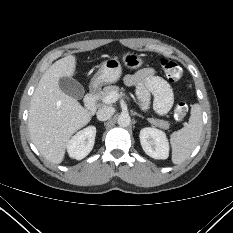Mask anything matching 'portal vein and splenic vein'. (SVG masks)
<instances>
[{"mask_svg":"<svg viewBox=\"0 0 233 233\" xmlns=\"http://www.w3.org/2000/svg\"><path fill=\"white\" fill-rule=\"evenodd\" d=\"M122 96H124V94H119V93H110L109 95H107L106 97H104L102 99L103 103L105 104H111V103H115L119 98H121Z\"/></svg>","mask_w":233,"mask_h":233,"instance_id":"obj_1","label":"portal vein and splenic vein"}]
</instances>
